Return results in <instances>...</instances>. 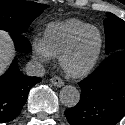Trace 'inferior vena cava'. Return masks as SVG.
<instances>
[{"label": "inferior vena cava", "mask_w": 125, "mask_h": 125, "mask_svg": "<svg viewBox=\"0 0 125 125\" xmlns=\"http://www.w3.org/2000/svg\"><path fill=\"white\" fill-rule=\"evenodd\" d=\"M26 74L28 76L42 77L45 74V69L40 62L31 60L26 65Z\"/></svg>", "instance_id": "obj_1"}]
</instances>
